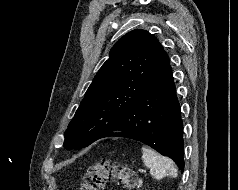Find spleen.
<instances>
[{
    "instance_id": "1",
    "label": "spleen",
    "mask_w": 238,
    "mask_h": 190,
    "mask_svg": "<svg viewBox=\"0 0 238 190\" xmlns=\"http://www.w3.org/2000/svg\"><path fill=\"white\" fill-rule=\"evenodd\" d=\"M142 151L143 162L150 168L151 175L155 179H162L165 176L177 177L178 170L171 159L147 147H142Z\"/></svg>"
}]
</instances>
